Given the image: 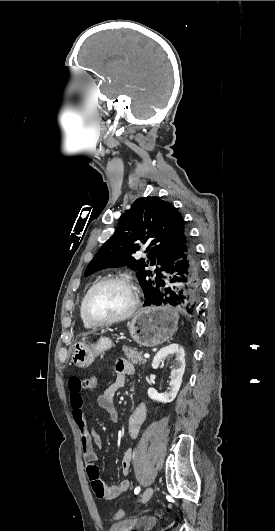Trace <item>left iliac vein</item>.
I'll return each mask as SVG.
<instances>
[{
  "mask_svg": "<svg viewBox=\"0 0 275 531\" xmlns=\"http://www.w3.org/2000/svg\"><path fill=\"white\" fill-rule=\"evenodd\" d=\"M153 495V488L148 487L145 489L143 495H142V502L146 503Z\"/></svg>",
  "mask_w": 275,
  "mask_h": 531,
  "instance_id": "4c4485c4",
  "label": "left iliac vein"
}]
</instances>
